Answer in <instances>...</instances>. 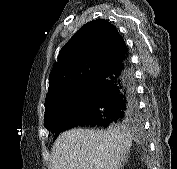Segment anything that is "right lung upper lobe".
Segmentation results:
<instances>
[{
	"instance_id": "1",
	"label": "right lung upper lobe",
	"mask_w": 177,
	"mask_h": 169,
	"mask_svg": "<svg viewBox=\"0 0 177 169\" xmlns=\"http://www.w3.org/2000/svg\"><path fill=\"white\" fill-rule=\"evenodd\" d=\"M128 49L114 25L98 19L86 23L60 50L49 75L45 108L65 100Z\"/></svg>"
}]
</instances>
